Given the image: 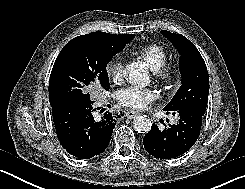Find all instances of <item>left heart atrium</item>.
I'll list each match as a JSON object with an SVG mask.
<instances>
[{
  "instance_id": "left-heart-atrium-1",
  "label": "left heart atrium",
  "mask_w": 245,
  "mask_h": 189,
  "mask_svg": "<svg viewBox=\"0 0 245 189\" xmlns=\"http://www.w3.org/2000/svg\"><path fill=\"white\" fill-rule=\"evenodd\" d=\"M153 89L137 86H127L118 91L117 98L121 105L129 108L140 109L156 98Z\"/></svg>"
}]
</instances>
